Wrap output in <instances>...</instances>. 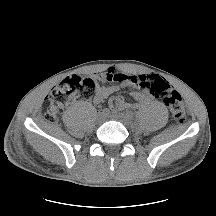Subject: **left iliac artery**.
Segmentation results:
<instances>
[{
  "label": "left iliac artery",
  "instance_id": "44dca946",
  "mask_svg": "<svg viewBox=\"0 0 216 216\" xmlns=\"http://www.w3.org/2000/svg\"><path fill=\"white\" fill-rule=\"evenodd\" d=\"M128 116H130L131 118H133V116H134V113L132 112V111H127V113H126Z\"/></svg>",
  "mask_w": 216,
  "mask_h": 216
}]
</instances>
